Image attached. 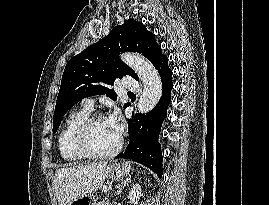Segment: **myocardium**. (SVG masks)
<instances>
[{"label":"myocardium","mask_w":269,"mask_h":205,"mask_svg":"<svg viewBox=\"0 0 269 205\" xmlns=\"http://www.w3.org/2000/svg\"><path fill=\"white\" fill-rule=\"evenodd\" d=\"M103 119H105V117L102 114H95V115L89 116L82 123V125L79 127L77 131L76 139H75L76 146L79 152L86 158L96 159V160L112 158L120 152L123 146V139L121 136H119L116 146L112 150L106 153H97L91 149L90 144H89L90 130L93 127V125H95L97 122Z\"/></svg>","instance_id":"myocardium-1"}]
</instances>
